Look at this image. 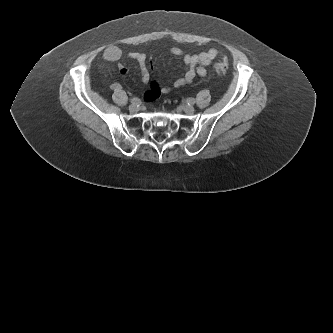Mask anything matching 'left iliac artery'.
Listing matches in <instances>:
<instances>
[{"label":"left iliac artery","mask_w":333,"mask_h":333,"mask_svg":"<svg viewBox=\"0 0 333 333\" xmlns=\"http://www.w3.org/2000/svg\"><path fill=\"white\" fill-rule=\"evenodd\" d=\"M187 103L190 104H194L195 103V99L194 98H188L187 99Z\"/></svg>","instance_id":"obj_1"}]
</instances>
